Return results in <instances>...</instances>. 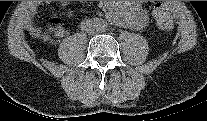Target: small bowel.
<instances>
[{"label": "small bowel", "mask_w": 207, "mask_h": 121, "mask_svg": "<svg viewBox=\"0 0 207 121\" xmlns=\"http://www.w3.org/2000/svg\"><path fill=\"white\" fill-rule=\"evenodd\" d=\"M62 6H66L67 2H61ZM100 7L106 13L107 17L118 24L131 26L133 28H143L147 24V18L137 3L125 4V8L121 9L117 5L109 1H102ZM57 33L64 31L63 26L56 28Z\"/></svg>", "instance_id": "obj_1"}]
</instances>
